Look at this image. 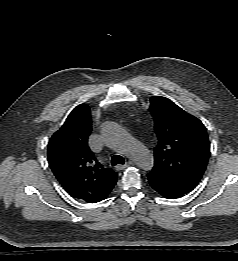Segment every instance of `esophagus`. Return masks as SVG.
<instances>
[{"label": "esophagus", "mask_w": 238, "mask_h": 261, "mask_svg": "<svg viewBox=\"0 0 238 261\" xmlns=\"http://www.w3.org/2000/svg\"><path fill=\"white\" fill-rule=\"evenodd\" d=\"M131 164H132V162L128 161L124 165H117L115 168H116V170L120 171V170H123V169L129 167Z\"/></svg>", "instance_id": "obj_1"}]
</instances>
